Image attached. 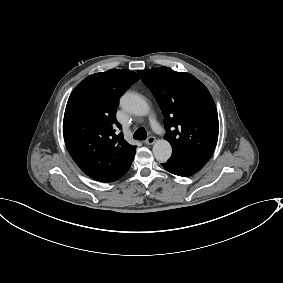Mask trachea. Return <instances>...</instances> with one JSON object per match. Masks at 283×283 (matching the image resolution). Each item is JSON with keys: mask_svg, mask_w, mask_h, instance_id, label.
I'll use <instances>...</instances> for the list:
<instances>
[{"mask_svg": "<svg viewBox=\"0 0 283 283\" xmlns=\"http://www.w3.org/2000/svg\"><path fill=\"white\" fill-rule=\"evenodd\" d=\"M134 139L137 140H145L147 137L146 130L143 127L138 128L134 134H133Z\"/></svg>", "mask_w": 283, "mask_h": 283, "instance_id": "trachea-1", "label": "trachea"}]
</instances>
